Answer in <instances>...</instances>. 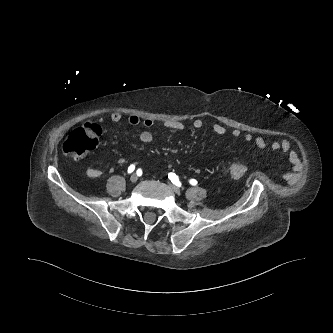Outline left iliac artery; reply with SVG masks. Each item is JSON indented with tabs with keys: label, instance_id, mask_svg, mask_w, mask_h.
Here are the masks:
<instances>
[{
	"label": "left iliac artery",
	"instance_id": "44dca946",
	"mask_svg": "<svg viewBox=\"0 0 333 333\" xmlns=\"http://www.w3.org/2000/svg\"><path fill=\"white\" fill-rule=\"evenodd\" d=\"M168 176H169V179L171 180V182H172L173 184H175V185L178 186V187L181 186V183H180V181H179V179H178V176H177L175 173H169ZM189 182H190V184L193 185V186L197 185V180H195V179H190Z\"/></svg>",
	"mask_w": 333,
	"mask_h": 333
}]
</instances>
